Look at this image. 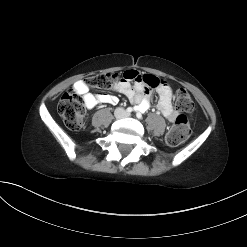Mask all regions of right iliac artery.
<instances>
[{"instance_id":"right-iliac-artery-1","label":"right iliac artery","mask_w":247,"mask_h":247,"mask_svg":"<svg viewBox=\"0 0 247 247\" xmlns=\"http://www.w3.org/2000/svg\"><path fill=\"white\" fill-rule=\"evenodd\" d=\"M133 111V108L132 107H128L127 109H126V112L127 113H131Z\"/></svg>"}]
</instances>
